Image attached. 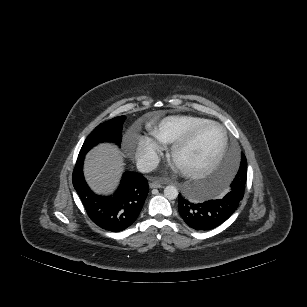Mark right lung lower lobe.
Returning <instances> with one entry per match:
<instances>
[{"instance_id":"98d812e1","label":"right lung lower lobe","mask_w":307,"mask_h":307,"mask_svg":"<svg viewBox=\"0 0 307 307\" xmlns=\"http://www.w3.org/2000/svg\"><path fill=\"white\" fill-rule=\"evenodd\" d=\"M84 158L85 155L78 156L72 181L88 216L105 230L119 232L126 229L141 212L149 190L147 180L137 172H125L113 196H98L84 180Z\"/></svg>"}]
</instances>
